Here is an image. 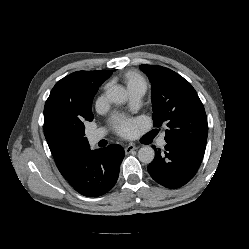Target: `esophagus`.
<instances>
[{"instance_id":"obj_1","label":"esophagus","mask_w":249,"mask_h":249,"mask_svg":"<svg viewBox=\"0 0 249 249\" xmlns=\"http://www.w3.org/2000/svg\"><path fill=\"white\" fill-rule=\"evenodd\" d=\"M137 149V146L134 144H129L125 146V153L129 154L131 153L133 150Z\"/></svg>"}]
</instances>
